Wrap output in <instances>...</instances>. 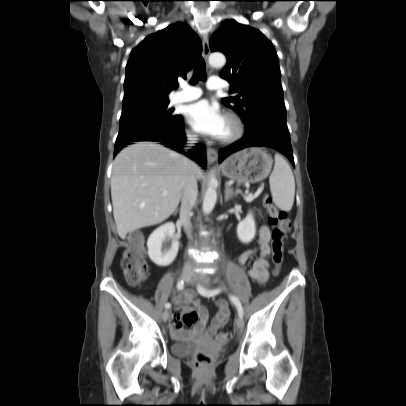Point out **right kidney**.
Listing matches in <instances>:
<instances>
[{"label": "right kidney", "instance_id": "right-kidney-1", "mask_svg": "<svg viewBox=\"0 0 406 406\" xmlns=\"http://www.w3.org/2000/svg\"><path fill=\"white\" fill-rule=\"evenodd\" d=\"M167 237L171 240L170 246L163 245ZM147 247L148 255L156 265L163 267L170 265L175 260L179 249L174 224L169 222L154 230L148 238Z\"/></svg>", "mask_w": 406, "mask_h": 406}]
</instances>
